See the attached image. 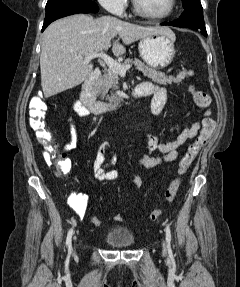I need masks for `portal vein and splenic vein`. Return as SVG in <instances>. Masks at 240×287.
<instances>
[{
    "mask_svg": "<svg viewBox=\"0 0 240 287\" xmlns=\"http://www.w3.org/2000/svg\"><path fill=\"white\" fill-rule=\"evenodd\" d=\"M77 58L84 59L85 63H89L94 58H101L108 65L109 69L113 70L114 72H117L119 75L122 76L126 75V71L131 68V65H122L107 54L103 53L102 51L100 53L89 54L84 58L81 56H78Z\"/></svg>",
    "mask_w": 240,
    "mask_h": 287,
    "instance_id": "obj_1",
    "label": "portal vein and splenic vein"
}]
</instances>
